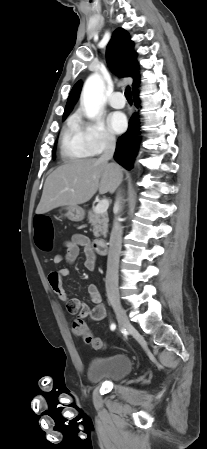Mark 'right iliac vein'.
Listing matches in <instances>:
<instances>
[{"mask_svg":"<svg viewBox=\"0 0 207 449\" xmlns=\"http://www.w3.org/2000/svg\"><path fill=\"white\" fill-rule=\"evenodd\" d=\"M109 301L116 313L118 323H119V328L122 330V329H128V328L132 327L131 323L127 317V314H126L124 308L122 307L120 301L118 299H116L115 297H110Z\"/></svg>","mask_w":207,"mask_h":449,"instance_id":"1","label":"right iliac vein"}]
</instances>
